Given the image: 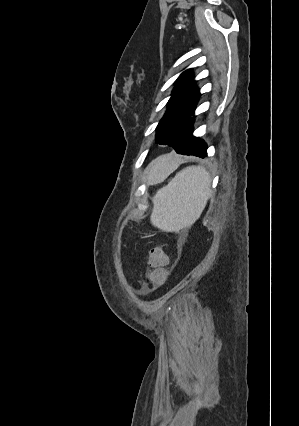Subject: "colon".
I'll return each mask as SVG.
<instances>
[{
  "label": "colon",
  "mask_w": 299,
  "mask_h": 426,
  "mask_svg": "<svg viewBox=\"0 0 299 426\" xmlns=\"http://www.w3.org/2000/svg\"><path fill=\"white\" fill-rule=\"evenodd\" d=\"M148 262L151 267L148 273V290L161 287L169 275L168 258L162 246H157L149 251Z\"/></svg>",
  "instance_id": "obj_1"
}]
</instances>
